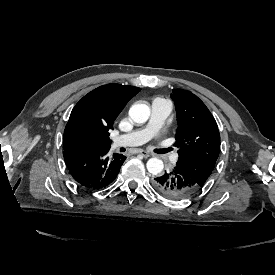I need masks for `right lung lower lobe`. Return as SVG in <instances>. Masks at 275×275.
I'll return each instance as SVG.
<instances>
[{
    "label": "right lung lower lobe",
    "mask_w": 275,
    "mask_h": 275,
    "mask_svg": "<svg viewBox=\"0 0 275 275\" xmlns=\"http://www.w3.org/2000/svg\"><path fill=\"white\" fill-rule=\"evenodd\" d=\"M110 147H82L64 152V160L75 181L81 186L98 190L108 186L119 173L126 157L108 155Z\"/></svg>",
    "instance_id": "right-lung-lower-lobe-1"
}]
</instances>
